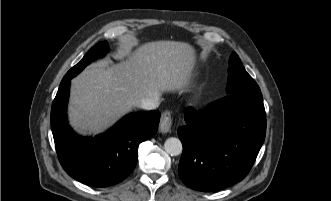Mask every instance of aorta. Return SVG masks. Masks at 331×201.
<instances>
[{
	"label": "aorta",
	"instance_id": "obj_1",
	"mask_svg": "<svg viewBox=\"0 0 331 201\" xmlns=\"http://www.w3.org/2000/svg\"><path fill=\"white\" fill-rule=\"evenodd\" d=\"M165 151L171 156H177L182 153V143L178 138H168L164 143Z\"/></svg>",
	"mask_w": 331,
	"mask_h": 201
}]
</instances>
